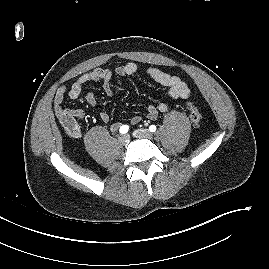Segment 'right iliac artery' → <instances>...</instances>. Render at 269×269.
<instances>
[{"label":"right iliac artery","instance_id":"right-iliac-artery-1","mask_svg":"<svg viewBox=\"0 0 269 269\" xmlns=\"http://www.w3.org/2000/svg\"><path fill=\"white\" fill-rule=\"evenodd\" d=\"M128 130H129V126H128V125H122V126L120 127V129H119V132H120L121 134H125V133L128 132Z\"/></svg>","mask_w":269,"mask_h":269}]
</instances>
